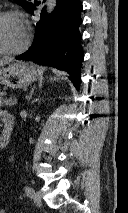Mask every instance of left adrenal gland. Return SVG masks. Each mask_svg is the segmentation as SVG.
Masks as SVG:
<instances>
[{"label": "left adrenal gland", "instance_id": "obj_1", "mask_svg": "<svg viewBox=\"0 0 128 213\" xmlns=\"http://www.w3.org/2000/svg\"><path fill=\"white\" fill-rule=\"evenodd\" d=\"M33 92H34V89H32V90L30 91V94H29V96L27 97L28 100H30V99L32 98Z\"/></svg>", "mask_w": 128, "mask_h": 213}]
</instances>
